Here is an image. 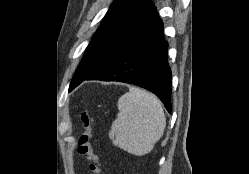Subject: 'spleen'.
Wrapping results in <instances>:
<instances>
[{"label": "spleen", "mask_w": 249, "mask_h": 174, "mask_svg": "<svg viewBox=\"0 0 249 174\" xmlns=\"http://www.w3.org/2000/svg\"><path fill=\"white\" fill-rule=\"evenodd\" d=\"M117 106L119 113L109 132L113 144L136 156L151 152L166 124L160 101L147 91L130 87Z\"/></svg>", "instance_id": "spleen-1"}]
</instances>
